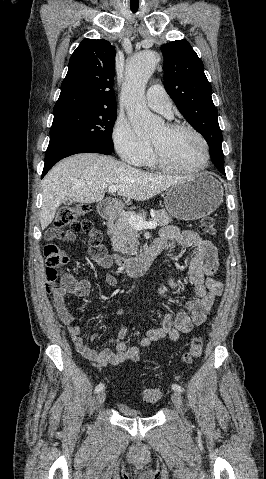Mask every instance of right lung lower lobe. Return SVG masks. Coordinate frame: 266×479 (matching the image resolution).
Masks as SVG:
<instances>
[{
	"instance_id": "obj_1",
	"label": "right lung lower lobe",
	"mask_w": 266,
	"mask_h": 479,
	"mask_svg": "<svg viewBox=\"0 0 266 479\" xmlns=\"http://www.w3.org/2000/svg\"><path fill=\"white\" fill-rule=\"evenodd\" d=\"M101 153L111 155L112 151L90 143L77 142L68 139L52 138L50 139L45 155V165L42 177L62 158L77 153Z\"/></svg>"
}]
</instances>
